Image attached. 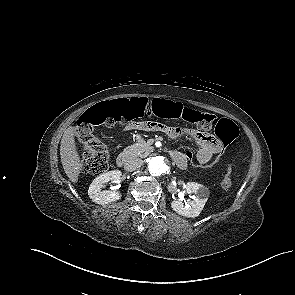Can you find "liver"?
Listing matches in <instances>:
<instances>
[{"instance_id": "1", "label": "liver", "mask_w": 295, "mask_h": 295, "mask_svg": "<svg viewBox=\"0 0 295 295\" xmlns=\"http://www.w3.org/2000/svg\"><path fill=\"white\" fill-rule=\"evenodd\" d=\"M60 155L66 175L71 182L76 183L83 164L77 152L73 128L68 129L62 137Z\"/></svg>"}]
</instances>
